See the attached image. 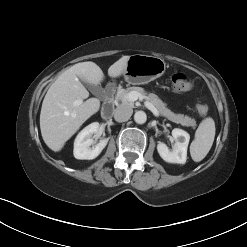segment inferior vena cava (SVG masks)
<instances>
[{"label":"inferior vena cava","mask_w":247,"mask_h":247,"mask_svg":"<svg viewBox=\"0 0 247 247\" xmlns=\"http://www.w3.org/2000/svg\"><path fill=\"white\" fill-rule=\"evenodd\" d=\"M133 113V109L127 105H121L115 109L114 119L118 122L127 121Z\"/></svg>","instance_id":"1"}]
</instances>
